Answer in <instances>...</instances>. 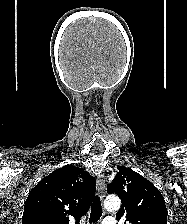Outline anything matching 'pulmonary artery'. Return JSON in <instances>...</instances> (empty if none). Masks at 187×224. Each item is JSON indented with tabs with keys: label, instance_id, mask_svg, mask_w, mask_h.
<instances>
[{
	"label": "pulmonary artery",
	"instance_id": "obj_1",
	"mask_svg": "<svg viewBox=\"0 0 187 224\" xmlns=\"http://www.w3.org/2000/svg\"><path fill=\"white\" fill-rule=\"evenodd\" d=\"M102 224H116V222L113 218L107 217L102 221Z\"/></svg>",
	"mask_w": 187,
	"mask_h": 224
}]
</instances>
